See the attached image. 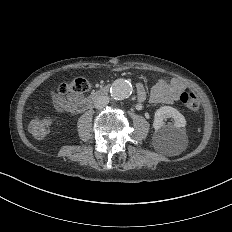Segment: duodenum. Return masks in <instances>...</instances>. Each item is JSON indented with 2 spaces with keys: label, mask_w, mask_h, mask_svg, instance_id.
<instances>
[{
  "label": "duodenum",
  "mask_w": 232,
  "mask_h": 232,
  "mask_svg": "<svg viewBox=\"0 0 232 232\" xmlns=\"http://www.w3.org/2000/svg\"><path fill=\"white\" fill-rule=\"evenodd\" d=\"M109 86H104L94 92H92L88 97L83 99L76 107V112H82L88 109L92 103L100 97H103L108 94Z\"/></svg>",
  "instance_id": "410a0bca"
}]
</instances>
